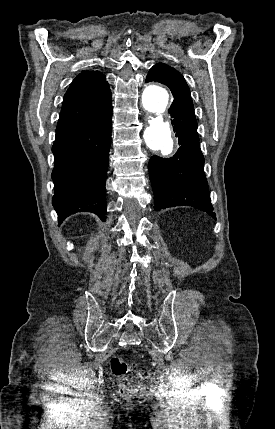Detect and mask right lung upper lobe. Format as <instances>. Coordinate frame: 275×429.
Here are the masks:
<instances>
[{
	"mask_svg": "<svg viewBox=\"0 0 275 429\" xmlns=\"http://www.w3.org/2000/svg\"><path fill=\"white\" fill-rule=\"evenodd\" d=\"M111 110L112 96L105 76L99 71H83L64 96L56 130L102 118Z\"/></svg>",
	"mask_w": 275,
	"mask_h": 429,
	"instance_id": "right-lung-upper-lobe-1",
	"label": "right lung upper lobe"
}]
</instances>
